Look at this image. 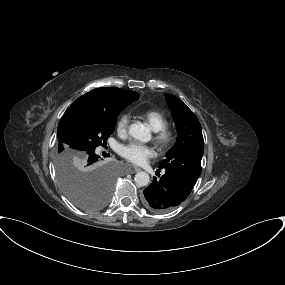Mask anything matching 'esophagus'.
Listing matches in <instances>:
<instances>
[{
  "label": "esophagus",
  "mask_w": 285,
  "mask_h": 285,
  "mask_svg": "<svg viewBox=\"0 0 285 285\" xmlns=\"http://www.w3.org/2000/svg\"><path fill=\"white\" fill-rule=\"evenodd\" d=\"M141 171V168L139 167H134V172H140Z\"/></svg>",
  "instance_id": "1"
}]
</instances>
